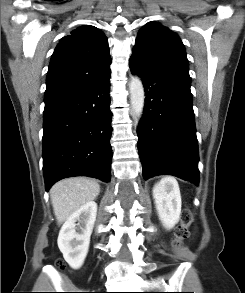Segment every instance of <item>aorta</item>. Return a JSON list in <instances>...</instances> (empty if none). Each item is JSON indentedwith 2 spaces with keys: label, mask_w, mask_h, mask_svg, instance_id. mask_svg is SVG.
<instances>
[{
  "label": "aorta",
  "mask_w": 245,
  "mask_h": 293,
  "mask_svg": "<svg viewBox=\"0 0 245 293\" xmlns=\"http://www.w3.org/2000/svg\"><path fill=\"white\" fill-rule=\"evenodd\" d=\"M129 92L132 111L137 117H141L145 104V92L139 77L133 76L131 78Z\"/></svg>",
  "instance_id": "aorta-1"
}]
</instances>
